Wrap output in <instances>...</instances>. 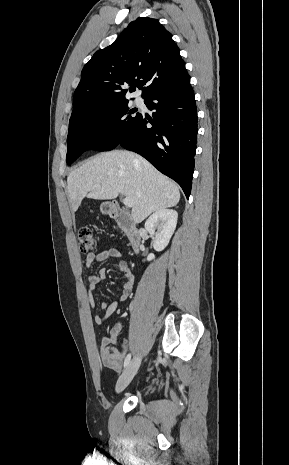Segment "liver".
Masks as SVG:
<instances>
[{
    "label": "liver",
    "instance_id": "obj_1",
    "mask_svg": "<svg viewBox=\"0 0 289 465\" xmlns=\"http://www.w3.org/2000/svg\"><path fill=\"white\" fill-rule=\"evenodd\" d=\"M137 159V161H135ZM72 210L87 197L111 200L122 194L132 198V218L142 222L152 212L176 206L178 186L157 171L146 159L129 151L115 150L96 155L67 178Z\"/></svg>",
    "mask_w": 289,
    "mask_h": 465
}]
</instances>
